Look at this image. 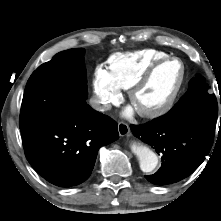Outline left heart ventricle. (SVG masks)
Segmentation results:
<instances>
[{
    "label": "left heart ventricle",
    "mask_w": 221,
    "mask_h": 221,
    "mask_svg": "<svg viewBox=\"0 0 221 221\" xmlns=\"http://www.w3.org/2000/svg\"><path fill=\"white\" fill-rule=\"evenodd\" d=\"M182 74L179 62L161 66L134 98L136 109H154L165 103L176 89Z\"/></svg>",
    "instance_id": "b2bd125f"
}]
</instances>
